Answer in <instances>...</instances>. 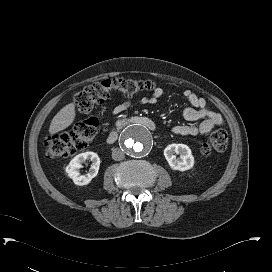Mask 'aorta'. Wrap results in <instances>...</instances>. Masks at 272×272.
Listing matches in <instances>:
<instances>
[{
  "mask_svg": "<svg viewBox=\"0 0 272 272\" xmlns=\"http://www.w3.org/2000/svg\"><path fill=\"white\" fill-rule=\"evenodd\" d=\"M121 145L132 157H143L153 147V137L148 129L140 125H132L121 135Z\"/></svg>",
  "mask_w": 272,
  "mask_h": 272,
  "instance_id": "1",
  "label": "aorta"
}]
</instances>
